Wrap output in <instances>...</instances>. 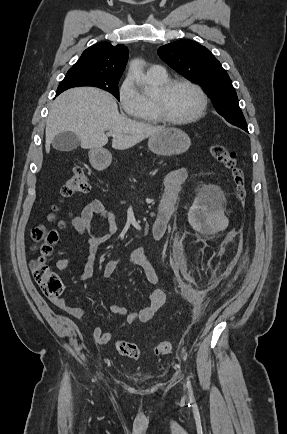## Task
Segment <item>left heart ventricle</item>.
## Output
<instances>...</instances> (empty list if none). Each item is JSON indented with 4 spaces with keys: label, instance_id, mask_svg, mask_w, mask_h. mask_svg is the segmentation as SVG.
<instances>
[{
    "label": "left heart ventricle",
    "instance_id": "b2bd125f",
    "mask_svg": "<svg viewBox=\"0 0 287 434\" xmlns=\"http://www.w3.org/2000/svg\"><path fill=\"white\" fill-rule=\"evenodd\" d=\"M154 98L160 99L167 114L175 119L190 117L199 107V97L196 92L184 85L176 86L166 94L158 89Z\"/></svg>",
    "mask_w": 287,
    "mask_h": 434
}]
</instances>
